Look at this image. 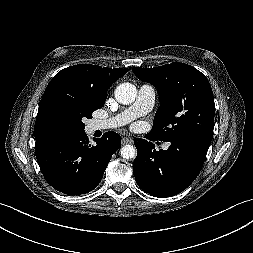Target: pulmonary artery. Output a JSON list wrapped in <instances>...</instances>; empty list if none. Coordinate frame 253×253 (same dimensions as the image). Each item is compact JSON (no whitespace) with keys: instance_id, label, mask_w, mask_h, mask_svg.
Here are the masks:
<instances>
[{"instance_id":"obj_1","label":"pulmonary artery","mask_w":253,"mask_h":253,"mask_svg":"<svg viewBox=\"0 0 253 253\" xmlns=\"http://www.w3.org/2000/svg\"><path fill=\"white\" fill-rule=\"evenodd\" d=\"M155 89L150 84L140 86L135 102L121 113L105 120H94L93 130H107L126 125L132 120L149 113L155 104ZM168 144L163 145L167 149Z\"/></svg>"}]
</instances>
